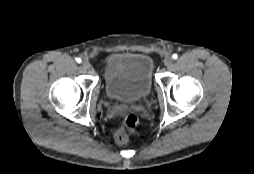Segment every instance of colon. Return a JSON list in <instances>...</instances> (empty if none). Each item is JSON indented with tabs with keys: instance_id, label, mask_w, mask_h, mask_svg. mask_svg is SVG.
I'll return each mask as SVG.
<instances>
[{
	"instance_id": "1",
	"label": "colon",
	"mask_w": 254,
	"mask_h": 174,
	"mask_svg": "<svg viewBox=\"0 0 254 174\" xmlns=\"http://www.w3.org/2000/svg\"><path fill=\"white\" fill-rule=\"evenodd\" d=\"M139 124V118L135 114L127 115L114 130V140L119 144L127 143L129 137L137 130Z\"/></svg>"
}]
</instances>
